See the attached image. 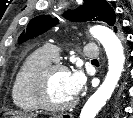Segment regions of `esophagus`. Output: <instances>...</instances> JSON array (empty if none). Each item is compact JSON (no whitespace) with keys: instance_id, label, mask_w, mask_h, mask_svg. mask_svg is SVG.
Listing matches in <instances>:
<instances>
[{"instance_id":"obj_1","label":"esophagus","mask_w":133,"mask_h":118,"mask_svg":"<svg viewBox=\"0 0 133 118\" xmlns=\"http://www.w3.org/2000/svg\"><path fill=\"white\" fill-rule=\"evenodd\" d=\"M62 118H72V115L71 114H63Z\"/></svg>"}]
</instances>
